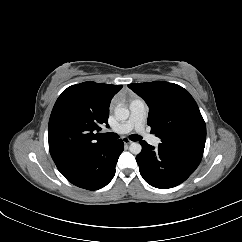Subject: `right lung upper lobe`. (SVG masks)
I'll list each match as a JSON object with an SVG mask.
<instances>
[{
    "label": "right lung upper lobe",
    "instance_id": "cb5924a9",
    "mask_svg": "<svg viewBox=\"0 0 242 242\" xmlns=\"http://www.w3.org/2000/svg\"><path fill=\"white\" fill-rule=\"evenodd\" d=\"M121 88L88 81L68 87L59 96L48 126L49 151L57 168L107 142L96 132L108 126L111 99Z\"/></svg>",
    "mask_w": 242,
    "mask_h": 242
}]
</instances>
